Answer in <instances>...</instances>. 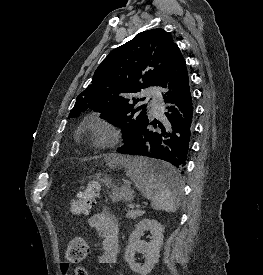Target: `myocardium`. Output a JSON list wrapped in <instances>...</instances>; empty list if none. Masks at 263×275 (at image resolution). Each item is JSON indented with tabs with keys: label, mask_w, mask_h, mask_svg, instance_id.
Returning a JSON list of instances; mask_svg holds the SVG:
<instances>
[{
	"label": "myocardium",
	"mask_w": 263,
	"mask_h": 275,
	"mask_svg": "<svg viewBox=\"0 0 263 275\" xmlns=\"http://www.w3.org/2000/svg\"><path fill=\"white\" fill-rule=\"evenodd\" d=\"M85 137L97 146L108 147L116 140L117 130L108 119L95 115L85 124Z\"/></svg>",
	"instance_id": "1"
}]
</instances>
